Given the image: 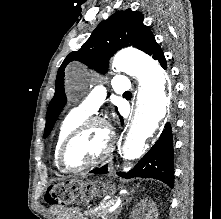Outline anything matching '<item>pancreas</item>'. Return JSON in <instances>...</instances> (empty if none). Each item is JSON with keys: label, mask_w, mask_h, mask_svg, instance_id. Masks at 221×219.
Here are the masks:
<instances>
[{"label": "pancreas", "mask_w": 221, "mask_h": 219, "mask_svg": "<svg viewBox=\"0 0 221 219\" xmlns=\"http://www.w3.org/2000/svg\"><path fill=\"white\" fill-rule=\"evenodd\" d=\"M114 205V201L103 202L99 206L87 210L85 212L86 215H90L93 219L101 218V219H109L112 214L109 212V208Z\"/></svg>", "instance_id": "pancreas-1"}]
</instances>
